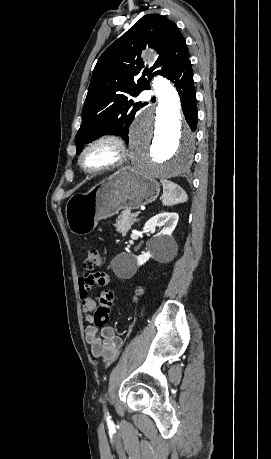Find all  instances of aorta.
<instances>
[{
    "mask_svg": "<svg viewBox=\"0 0 271 459\" xmlns=\"http://www.w3.org/2000/svg\"><path fill=\"white\" fill-rule=\"evenodd\" d=\"M144 58L151 60L156 55L153 50H146ZM152 86L157 105L143 111L133 125L130 160L138 174L150 179H166L191 166L195 135L183 121L180 98L171 82L158 76Z\"/></svg>",
    "mask_w": 271,
    "mask_h": 459,
    "instance_id": "obj_1",
    "label": "aorta"
}]
</instances>
